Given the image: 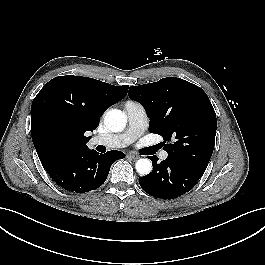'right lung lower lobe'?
Masks as SVG:
<instances>
[{
	"instance_id": "1",
	"label": "right lung lower lobe",
	"mask_w": 265,
	"mask_h": 265,
	"mask_svg": "<svg viewBox=\"0 0 265 265\" xmlns=\"http://www.w3.org/2000/svg\"><path fill=\"white\" fill-rule=\"evenodd\" d=\"M124 157L123 152L116 150L99 154L84 149L41 163L56 184L65 190L83 193L100 187L113 162Z\"/></svg>"
}]
</instances>
